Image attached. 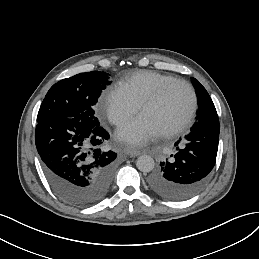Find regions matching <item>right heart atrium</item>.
<instances>
[{
    "label": "right heart atrium",
    "mask_w": 259,
    "mask_h": 259,
    "mask_svg": "<svg viewBox=\"0 0 259 259\" xmlns=\"http://www.w3.org/2000/svg\"><path fill=\"white\" fill-rule=\"evenodd\" d=\"M98 105L102 116L115 126L139 112V105L116 86H107L100 92Z\"/></svg>",
    "instance_id": "right-heart-atrium-1"
}]
</instances>
